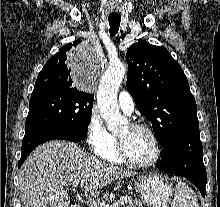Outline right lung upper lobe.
Wrapping results in <instances>:
<instances>
[{"instance_id":"right-lung-upper-lobe-1","label":"right lung upper lobe","mask_w":220,"mask_h":207,"mask_svg":"<svg viewBox=\"0 0 220 207\" xmlns=\"http://www.w3.org/2000/svg\"><path fill=\"white\" fill-rule=\"evenodd\" d=\"M79 42L81 40H76L73 45L76 46ZM71 47V43L66 44L47 61L37 77L34 89L52 87L78 90L71 78V68L67 65L68 51Z\"/></svg>"}]
</instances>
